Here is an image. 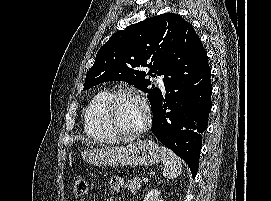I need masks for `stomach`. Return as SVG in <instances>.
<instances>
[{
	"label": "stomach",
	"mask_w": 271,
	"mask_h": 201,
	"mask_svg": "<svg viewBox=\"0 0 271 201\" xmlns=\"http://www.w3.org/2000/svg\"><path fill=\"white\" fill-rule=\"evenodd\" d=\"M84 161L99 167L151 166L162 159L160 148L150 140L127 146H102L81 152Z\"/></svg>",
	"instance_id": "obj_1"
}]
</instances>
